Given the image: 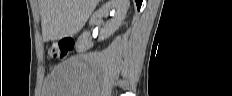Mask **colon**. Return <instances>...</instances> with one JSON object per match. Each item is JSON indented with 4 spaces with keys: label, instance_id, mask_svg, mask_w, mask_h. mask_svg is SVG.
<instances>
[{
    "label": "colon",
    "instance_id": "obj_1",
    "mask_svg": "<svg viewBox=\"0 0 232 96\" xmlns=\"http://www.w3.org/2000/svg\"><path fill=\"white\" fill-rule=\"evenodd\" d=\"M74 46L75 41L72 38H64L53 43L48 50V54L53 59L62 60L74 49Z\"/></svg>",
    "mask_w": 232,
    "mask_h": 96
}]
</instances>
